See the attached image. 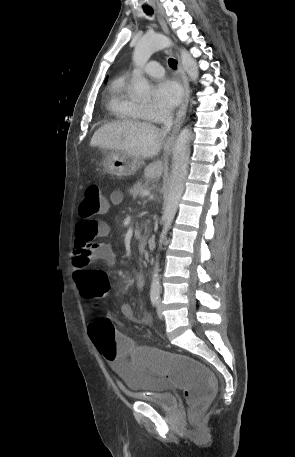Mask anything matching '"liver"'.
<instances>
[{"instance_id": "obj_1", "label": "liver", "mask_w": 295, "mask_h": 457, "mask_svg": "<svg viewBox=\"0 0 295 457\" xmlns=\"http://www.w3.org/2000/svg\"><path fill=\"white\" fill-rule=\"evenodd\" d=\"M166 131L146 122L122 121L100 127L90 141L91 147L120 151L138 159L158 154ZM163 173L162 160L148 164L144 170L147 180H159Z\"/></svg>"}]
</instances>
